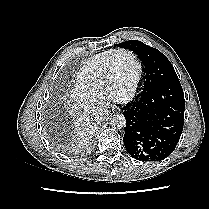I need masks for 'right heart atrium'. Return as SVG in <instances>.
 Listing matches in <instances>:
<instances>
[{
  "label": "right heart atrium",
  "instance_id": "obj_1",
  "mask_svg": "<svg viewBox=\"0 0 209 209\" xmlns=\"http://www.w3.org/2000/svg\"><path fill=\"white\" fill-rule=\"evenodd\" d=\"M73 100L86 111H95L103 107L104 101L100 96L92 94L78 86L72 90Z\"/></svg>",
  "mask_w": 209,
  "mask_h": 209
}]
</instances>
